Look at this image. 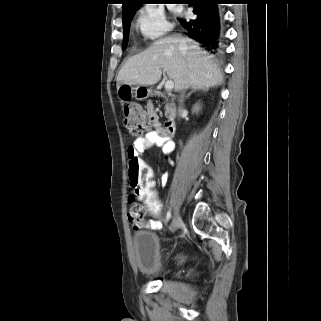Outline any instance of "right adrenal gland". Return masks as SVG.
I'll return each mask as SVG.
<instances>
[{
    "instance_id": "1",
    "label": "right adrenal gland",
    "mask_w": 321,
    "mask_h": 321,
    "mask_svg": "<svg viewBox=\"0 0 321 321\" xmlns=\"http://www.w3.org/2000/svg\"><path fill=\"white\" fill-rule=\"evenodd\" d=\"M196 91H204V92H206V91H208V88H194L191 92L188 93V95L186 96V98H189V97L191 96V94H192L193 92H196Z\"/></svg>"
}]
</instances>
